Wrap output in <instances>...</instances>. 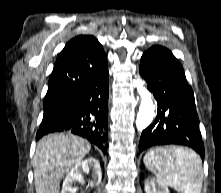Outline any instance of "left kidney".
Wrapping results in <instances>:
<instances>
[{
    "label": "left kidney",
    "instance_id": "left-kidney-1",
    "mask_svg": "<svg viewBox=\"0 0 221 193\" xmlns=\"http://www.w3.org/2000/svg\"><path fill=\"white\" fill-rule=\"evenodd\" d=\"M144 189L146 193H169L165 183L155 178L147 179Z\"/></svg>",
    "mask_w": 221,
    "mask_h": 193
}]
</instances>
